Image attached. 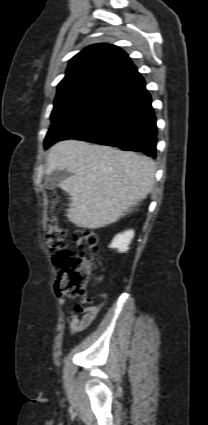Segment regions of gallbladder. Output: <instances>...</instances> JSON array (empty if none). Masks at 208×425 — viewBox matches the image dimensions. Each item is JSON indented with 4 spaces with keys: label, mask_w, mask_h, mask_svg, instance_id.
Returning <instances> with one entry per match:
<instances>
[{
    "label": "gallbladder",
    "mask_w": 208,
    "mask_h": 425,
    "mask_svg": "<svg viewBox=\"0 0 208 425\" xmlns=\"http://www.w3.org/2000/svg\"><path fill=\"white\" fill-rule=\"evenodd\" d=\"M69 176V173L63 170H55L50 175L47 176L45 180L46 189H55L61 185Z\"/></svg>",
    "instance_id": "1"
}]
</instances>
